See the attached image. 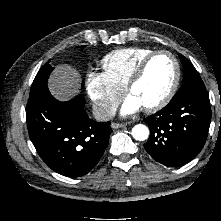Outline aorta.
<instances>
[{"instance_id": "aorta-1", "label": "aorta", "mask_w": 221, "mask_h": 221, "mask_svg": "<svg viewBox=\"0 0 221 221\" xmlns=\"http://www.w3.org/2000/svg\"><path fill=\"white\" fill-rule=\"evenodd\" d=\"M131 134L134 139L144 141L149 137V129L143 124H137L132 128Z\"/></svg>"}]
</instances>
